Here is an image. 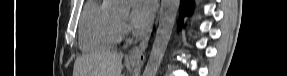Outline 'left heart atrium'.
<instances>
[{"label": "left heart atrium", "mask_w": 287, "mask_h": 76, "mask_svg": "<svg viewBox=\"0 0 287 76\" xmlns=\"http://www.w3.org/2000/svg\"><path fill=\"white\" fill-rule=\"evenodd\" d=\"M155 12V2L152 0H133L131 21L137 28H143L152 20Z\"/></svg>", "instance_id": "39dd6f15"}]
</instances>
